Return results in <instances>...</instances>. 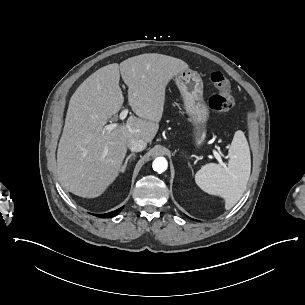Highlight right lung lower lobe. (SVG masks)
I'll list each match as a JSON object with an SVG mask.
<instances>
[{"mask_svg":"<svg viewBox=\"0 0 305 305\" xmlns=\"http://www.w3.org/2000/svg\"><path fill=\"white\" fill-rule=\"evenodd\" d=\"M122 209H123V207H121V208H119V209H117L113 212H110V213H107V214H102V215H97V216L102 217V218L111 217V216H114V215L118 214Z\"/></svg>","mask_w":305,"mask_h":305,"instance_id":"1","label":"right lung lower lobe"}]
</instances>
